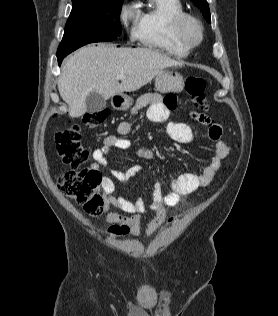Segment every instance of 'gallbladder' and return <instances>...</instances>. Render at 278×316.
I'll list each match as a JSON object with an SVG mask.
<instances>
[{
	"label": "gallbladder",
	"mask_w": 278,
	"mask_h": 316,
	"mask_svg": "<svg viewBox=\"0 0 278 316\" xmlns=\"http://www.w3.org/2000/svg\"><path fill=\"white\" fill-rule=\"evenodd\" d=\"M87 112L90 114L100 112L106 107V100L97 92H91L86 97Z\"/></svg>",
	"instance_id": "1"
}]
</instances>
